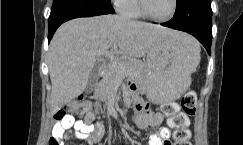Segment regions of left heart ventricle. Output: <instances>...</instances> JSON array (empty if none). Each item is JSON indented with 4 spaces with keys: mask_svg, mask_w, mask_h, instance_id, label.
I'll list each match as a JSON object with an SVG mask.
<instances>
[{
    "mask_svg": "<svg viewBox=\"0 0 243 145\" xmlns=\"http://www.w3.org/2000/svg\"><path fill=\"white\" fill-rule=\"evenodd\" d=\"M148 12L155 17H166L173 8V0H145Z\"/></svg>",
    "mask_w": 243,
    "mask_h": 145,
    "instance_id": "1",
    "label": "left heart ventricle"
}]
</instances>
